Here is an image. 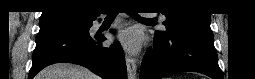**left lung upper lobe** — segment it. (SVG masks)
Instances as JSON below:
<instances>
[{"label": "left lung upper lobe", "instance_id": "5c2ea615", "mask_svg": "<svg viewBox=\"0 0 255 79\" xmlns=\"http://www.w3.org/2000/svg\"><path fill=\"white\" fill-rule=\"evenodd\" d=\"M159 5V8L163 10V14L167 18L164 22L166 31H156V37L166 39L170 34L188 29L211 31L210 14L198 11L182 12L180 11V2L173 0H161L159 1Z\"/></svg>", "mask_w": 255, "mask_h": 79}]
</instances>
